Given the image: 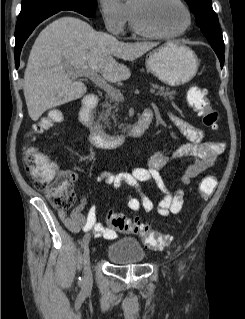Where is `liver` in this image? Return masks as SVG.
Returning a JSON list of instances; mask_svg holds the SVG:
<instances>
[{"instance_id":"liver-1","label":"liver","mask_w":245,"mask_h":319,"mask_svg":"<svg viewBox=\"0 0 245 319\" xmlns=\"http://www.w3.org/2000/svg\"><path fill=\"white\" fill-rule=\"evenodd\" d=\"M157 45L118 41L76 17L53 21L35 40L24 73L23 91L30 118L36 121L48 109L86 93L87 87L75 80L73 70L100 72L109 82L122 81L131 73L115 57L132 61Z\"/></svg>"}]
</instances>
